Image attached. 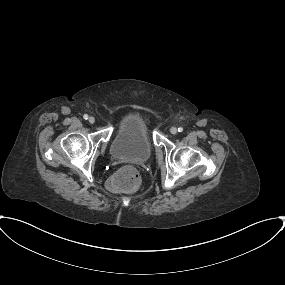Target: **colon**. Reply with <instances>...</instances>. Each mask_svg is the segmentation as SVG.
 <instances>
[{"mask_svg":"<svg viewBox=\"0 0 285 285\" xmlns=\"http://www.w3.org/2000/svg\"><path fill=\"white\" fill-rule=\"evenodd\" d=\"M140 182L138 171L131 166L119 169L108 181V187L113 191H135Z\"/></svg>","mask_w":285,"mask_h":285,"instance_id":"1","label":"colon"}]
</instances>
